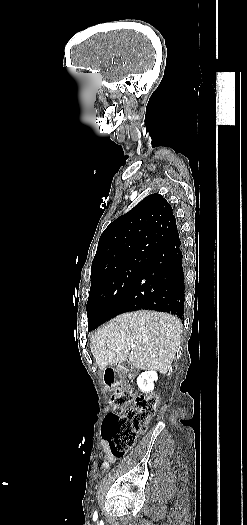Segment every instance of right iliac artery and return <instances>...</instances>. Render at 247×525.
<instances>
[{
	"label": "right iliac artery",
	"instance_id": "right-iliac-artery-1",
	"mask_svg": "<svg viewBox=\"0 0 247 525\" xmlns=\"http://www.w3.org/2000/svg\"><path fill=\"white\" fill-rule=\"evenodd\" d=\"M94 517H97V512L94 513Z\"/></svg>",
	"mask_w": 247,
	"mask_h": 525
}]
</instances>
